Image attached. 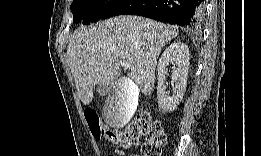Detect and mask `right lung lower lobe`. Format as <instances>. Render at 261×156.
Listing matches in <instances>:
<instances>
[{
  "label": "right lung lower lobe",
  "instance_id": "obj_1",
  "mask_svg": "<svg viewBox=\"0 0 261 156\" xmlns=\"http://www.w3.org/2000/svg\"><path fill=\"white\" fill-rule=\"evenodd\" d=\"M202 0H120L103 18L133 14L180 26L197 27L203 15Z\"/></svg>",
  "mask_w": 261,
  "mask_h": 156
}]
</instances>
